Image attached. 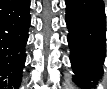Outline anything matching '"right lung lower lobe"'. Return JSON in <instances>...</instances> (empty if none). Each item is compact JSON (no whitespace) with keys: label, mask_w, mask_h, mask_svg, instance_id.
Instances as JSON below:
<instances>
[{"label":"right lung lower lobe","mask_w":107,"mask_h":89,"mask_svg":"<svg viewBox=\"0 0 107 89\" xmlns=\"http://www.w3.org/2000/svg\"><path fill=\"white\" fill-rule=\"evenodd\" d=\"M29 8V0L0 2V85L8 89L20 85L31 20Z\"/></svg>","instance_id":"1"}]
</instances>
